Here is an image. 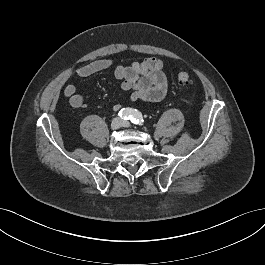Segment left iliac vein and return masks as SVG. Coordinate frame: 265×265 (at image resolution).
Wrapping results in <instances>:
<instances>
[{
  "label": "left iliac vein",
  "instance_id": "left-iliac-vein-1",
  "mask_svg": "<svg viewBox=\"0 0 265 265\" xmlns=\"http://www.w3.org/2000/svg\"><path fill=\"white\" fill-rule=\"evenodd\" d=\"M122 126L123 127H126V128H129L131 125L128 121H122Z\"/></svg>",
  "mask_w": 265,
  "mask_h": 265
}]
</instances>
